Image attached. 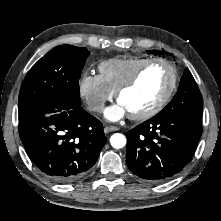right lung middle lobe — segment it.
<instances>
[{
    "mask_svg": "<svg viewBox=\"0 0 221 221\" xmlns=\"http://www.w3.org/2000/svg\"><path fill=\"white\" fill-rule=\"evenodd\" d=\"M90 52L61 45L38 60L19 93V122L52 109L81 106L79 78Z\"/></svg>",
    "mask_w": 221,
    "mask_h": 221,
    "instance_id": "1",
    "label": "right lung middle lobe"
}]
</instances>
